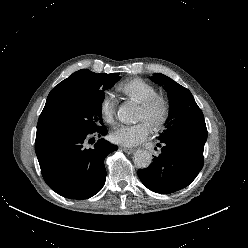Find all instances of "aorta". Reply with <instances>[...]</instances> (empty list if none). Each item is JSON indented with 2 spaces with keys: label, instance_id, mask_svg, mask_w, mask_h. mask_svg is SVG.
Listing matches in <instances>:
<instances>
[{
  "label": "aorta",
  "instance_id": "762f6f07",
  "mask_svg": "<svg viewBox=\"0 0 248 248\" xmlns=\"http://www.w3.org/2000/svg\"><path fill=\"white\" fill-rule=\"evenodd\" d=\"M136 108L131 103L122 104L118 111L117 117L123 123H133L135 120ZM152 154L144 149H138L133 156L134 164L138 168H147L152 162Z\"/></svg>",
  "mask_w": 248,
  "mask_h": 248
}]
</instances>
